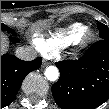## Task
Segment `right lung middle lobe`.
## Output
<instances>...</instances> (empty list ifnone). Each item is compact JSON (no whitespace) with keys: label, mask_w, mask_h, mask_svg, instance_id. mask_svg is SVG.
Returning <instances> with one entry per match:
<instances>
[{"label":"right lung middle lobe","mask_w":109,"mask_h":109,"mask_svg":"<svg viewBox=\"0 0 109 109\" xmlns=\"http://www.w3.org/2000/svg\"><path fill=\"white\" fill-rule=\"evenodd\" d=\"M1 30H5V31H7L8 33H10L13 36L16 35V32L13 29H11L10 27H7L4 24H1Z\"/></svg>","instance_id":"dd1d6c3e"}]
</instances>
